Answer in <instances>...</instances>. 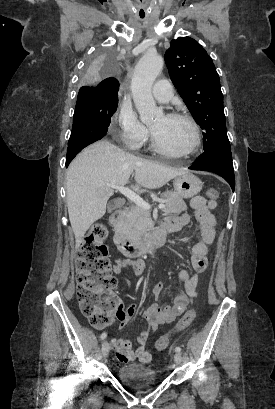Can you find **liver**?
I'll use <instances>...</instances> for the list:
<instances>
[{"label": "liver", "instance_id": "obj_1", "mask_svg": "<svg viewBox=\"0 0 275 409\" xmlns=\"http://www.w3.org/2000/svg\"><path fill=\"white\" fill-rule=\"evenodd\" d=\"M132 172L136 184L131 188L139 190L140 186L159 188L188 170L134 156L106 138L89 144L70 162L66 172L67 209L75 247H80L89 227L106 213L107 200L114 192L106 182L124 186Z\"/></svg>", "mask_w": 275, "mask_h": 409}]
</instances>
